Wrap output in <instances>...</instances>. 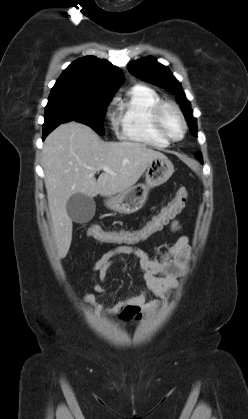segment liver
Returning a JSON list of instances; mask_svg holds the SVG:
<instances>
[{"label": "liver", "mask_w": 248, "mask_h": 419, "mask_svg": "<svg viewBox=\"0 0 248 419\" xmlns=\"http://www.w3.org/2000/svg\"><path fill=\"white\" fill-rule=\"evenodd\" d=\"M165 157L137 142H104L88 126L69 122L58 126L45 139L42 167L57 254L65 258L72 241V219L67 202L73 194L112 196L132 187L149 163ZM107 166L98 179L95 173Z\"/></svg>", "instance_id": "1"}]
</instances>
